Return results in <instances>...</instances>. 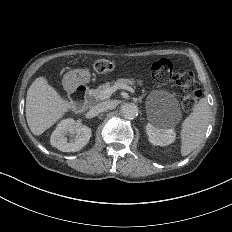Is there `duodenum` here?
<instances>
[{
    "label": "duodenum",
    "mask_w": 232,
    "mask_h": 232,
    "mask_svg": "<svg viewBox=\"0 0 232 232\" xmlns=\"http://www.w3.org/2000/svg\"><path fill=\"white\" fill-rule=\"evenodd\" d=\"M65 87L71 95L74 109L81 111L86 103L88 93L87 85L79 78H72L65 83Z\"/></svg>",
    "instance_id": "1"
}]
</instances>
